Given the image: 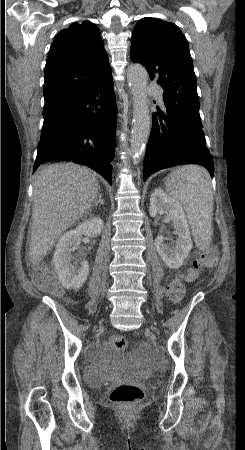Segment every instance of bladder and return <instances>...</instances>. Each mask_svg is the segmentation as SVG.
Here are the masks:
<instances>
[{
    "label": "bladder",
    "instance_id": "bladder-1",
    "mask_svg": "<svg viewBox=\"0 0 245 450\" xmlns=\"http://www.w3.org/2000/svg\"><path fill=\"white\" fill-rule=\"evenodd\" d=\"M84 376L91 385H111L122 379H142L145 374L133 362H121L103 368L98 363H90L83 368Z\"/></svg>",
    "mask_w": 245,
    "mask_h": 450
}]
</instances>
